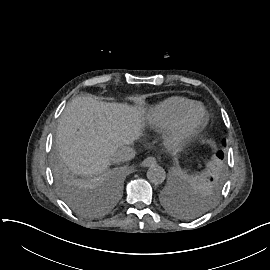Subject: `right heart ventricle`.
<instances>
[{
    "instance_id": "e07e8e85",
    "label": "right heart ventricle",
    "mask_w": 270,
    "mask_h": 270,
    "mask_svg": "<svg viewBox=\"0 0 270 270\" xmlns=\"http://www.w3.org/2000/svg\"><path fill=\"white\" fill-rule=\"evenodd\" d=\"M195 101L179 96L169 97L154 105L149 113V125L156 132L169 129Z\"/></svg>"
}]
</instances>
